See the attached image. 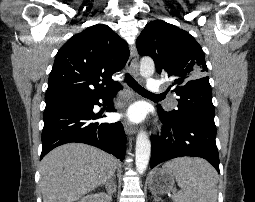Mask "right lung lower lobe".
Wrapping results in <instances>:
<instances>
[{
	"label": "right lung lower lobe",
	"instance_id": "obj_1",
	"mask_svg": "<svg viewBox=\"0 0 255 202\" xmlns=\"http://www.w3.org/2000/svg\"><path fill=\"white\" fill-rule=\"evenodd\" d=\"M120 89L118 86L114 91L99 97L45 109L41 158L62 144L82 142L123 160L126 150L123 125L120 122H95L100 115L93 113V106L101 105L100 99L108 103V112H115L112 98Z\"/></svg>",
	"mask_w": 255,
	"mask_h": 202
}]
</instances>
